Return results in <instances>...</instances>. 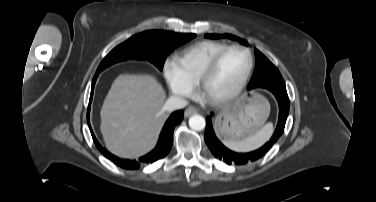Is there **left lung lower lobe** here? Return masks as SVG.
I'll return each mask as SVG.
<instances>
[{"label":"left lung lower lobe","mask_w":376,"mask_h":202,"mask_svg":"<svg viewBox=\"0 0 376 202\" xmlns=\"http://www.w3.org/2000/svg\"><path fill=\"white\" fill-rule=\"evenodd\" d=\"M276 97L279 105V118L275 132L271 139L260 149L250 153H236L227 149L216 137L212 121L210 117L206 118V129L204 134L205 142L210 149L211 153L218 159L224 161L226 164L242 165L254 162L262 158L270 148L277 142L284 131L285 123L287 120L290 102L287 91L282 89L273 88L269 89Z\"/></svg>","instance_id":"obj_1"}]
</instances>
